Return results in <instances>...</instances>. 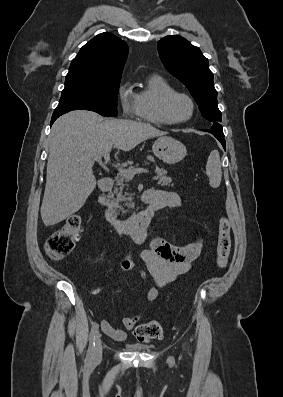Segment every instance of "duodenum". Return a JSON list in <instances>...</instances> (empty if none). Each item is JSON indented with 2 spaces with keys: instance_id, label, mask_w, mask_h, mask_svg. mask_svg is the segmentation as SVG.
I'll return each mask as SVG.
<instances>
[{
  "instance_id": "410a0bca",
  "label": "duodenum",
  "mask_w": 283,
  "mask_h": 397,
  "mask_svg": "<svg viewBox=\"0 0 283 397\" xmlns=\"http://www.w3.org/2000/svg\"><path fill=\"white\" fill-rule=\"evenodd\" d=\"M113 183L114 181L111 177H105L99 184L100 195L98 202L103 208L107 222L120 235H133L145 231L154 212L158 209L157 204L153 201L149 192L145 191L140 199L145 207L134 212L128 218L122 219L117 216L108 199V193L111 191Z\"/></svg>"
}]
</instances>
